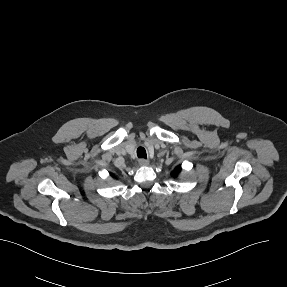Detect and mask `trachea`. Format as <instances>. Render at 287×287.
Instances as JSON below:
<instances>
[{
  "mask_svg": "<svg viewBox=\"0 0 287 287\" xmlns=\"http://www.w3.org/2000/svg\"><path fill=\"white\" fill-rule=\"evenodd\" d=\"M137 156H138L139 158H144V159H146V158H147V154H146L145 148H143V147H138V149H137Z\"/></svg>",
  "mask_w": 287,
  "mask_h": 287,
  "instance_id": "obj_1",
  "label": "trachea"
}]
</instances>
